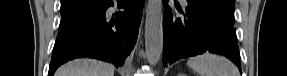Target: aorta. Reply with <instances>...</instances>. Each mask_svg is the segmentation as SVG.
Masks as SVG:
<instances>
[{
    "label": "aorta",
    "instance_id": "obj_1",
    "mask_svg": "<svg viewBox=\"0 0 287 76\" xmlns=\"http://www.w3.org/2000/svg\"><path fill=\"white\" fill-rule=\"evenodd\" d=\"M162 20L161 0L151 1L145 21V54L151 65L157 64L163 50Z\"/></svg>",
    "mask_w": 287,
    "mask_h": 76
}]
</instances>
